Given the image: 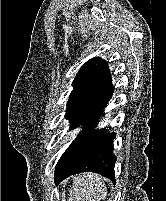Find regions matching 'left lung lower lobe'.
<instances>
[{"mask_svg": "<svg viewBox=\"0 0 166 201\" xmlns=\"http://www.w3.org/2000/svg\"><path fill=\"white\" fill-rule=\"evenodd\" d=\"M107 103L84 122V129L61 156L55 168L56 184L70 175L88 171L101 174L115 184L116 157L113 155L112 144L115 133L107 134L104 130L93 131V126L100 119L101 111Z\"/></svg>", "mask_w": 166, "mask_h": 201, "instance_id": "0a47b994", "label": "left lung lower lobe"}]
</instances>
